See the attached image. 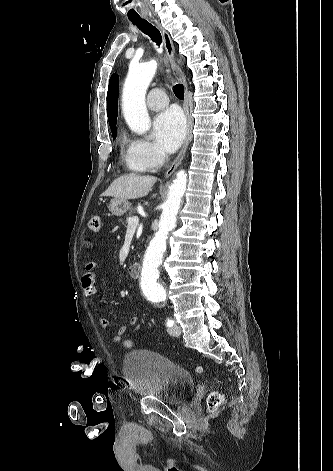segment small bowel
<instances>
[{"mask_svg": "<svg viewBox=\"0 0 333 471\" xmlns=\"http://www.w3.org/2000/svg\"><path fill=\"white\" fill-rule=\"evenodd\" d=\"M99 267V262L97 260H90L86 263V271L81 277V286L87 297H94L96 295V286H95V275L96 269ZM139 322V317L133 316L130 319V325L135 326ZM99 324L102 329H108L110 322L108 318L104 315H101L99 318ZM127 327L120 326L114 333L112 340L115 343H120L123 340V335L126 333Z\"/></svg>", "mask_w": 333, "mask_h": 471, "instance_id": "obj_1", "label": "small bowel"}]
</instances>
